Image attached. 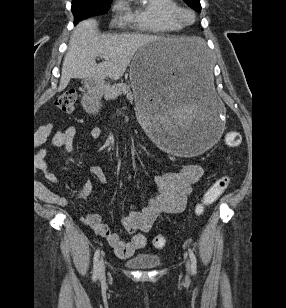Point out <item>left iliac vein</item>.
Segmentation results:
<instances>
[{
    "label": "left iliac vein",
    "instance_id": "obj_1",
    "mask_svg": "<svg viewBox=\"0 0 286 308\" xmlns=\"http://www.w3.org/2000/svg\"><path fill=\"white\" fill-rule=\"evenodd\" d=\"M186 268H187L188 271L190 270V263H189V261H187V263H186Z\"/></svg>",
    "mask_w": 286,
    "mask_h": 308
}]
</instances>
